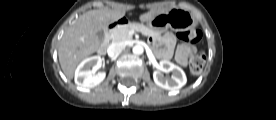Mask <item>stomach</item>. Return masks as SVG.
<instances>
[{"label":"stomach","instance_id":"1","mask_svg":"<svg viewBox=\"0 0 276 120\" xmlns=\"http://www.w3.org/2000/svg\"><path fill=\"white\" fill-rule=\"evenodd\" d=\"M146 25L156 33H163L168 29L184 32L193 29L196 26V20L190 11L175 7L156 14L146 21Z\"/></svg>","mask_w":276,"mask_h":120}]
</instances>
